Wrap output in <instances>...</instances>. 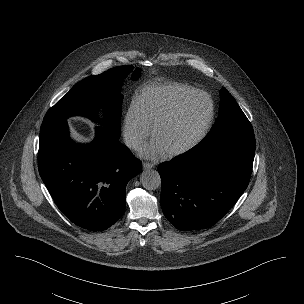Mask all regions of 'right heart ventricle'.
<instances>
[{
  "label": "right heart ventricle",
  "mask_w": 304,
  "mask_h": 304,
  "mask_svg": "<svg viewBox=\"0 0 304 304\" xmlns=\"http://www.w3.org/2000/svg\"><path fill=\"white\" fill-rule=\"evenodd\" d=\"M197 91L195 88L177 82L153 84L142 90L137 100L150 126L184 96Z\"/></svg>",
  "instance_id": "1"
}]
</instances>
